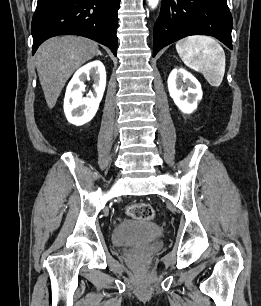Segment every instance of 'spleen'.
Listing matches in <instances>:
<instances>
[{
  "label": "spleen",
  "mask_w": 261,
  "mask_h": 306,
  "mask_svg": "<svg viewBox=\"0 0 261 306\" xmlns=\"http://www.w3.org/2000/svg\"><path fill=\"white\" fill-rule=\"evenodd\" d=\"M185 65L204 75L211 86L219 87L225 73V53L213 38L204 35L186 37L176 43Z\"/></svg>",
  "instance_id": "3e777b00"
}]
</instances>
